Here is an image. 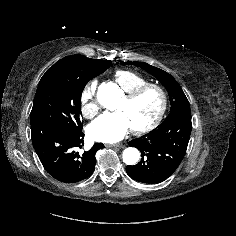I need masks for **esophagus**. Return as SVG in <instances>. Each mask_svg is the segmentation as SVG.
<instances>
[{
    "label": "esophagus",
    "mask_w": 236,
    "mask_h": 236,
    "mask_svg": "<svg viewBox=\"0 0 236 236\" xmlns=\"http://www.w3.org/2000/svg\"><path fill=\"white\" fill-rule=\"evenodd\" d=\"M108 147L123 148V144L122 143L111 144V145H108Z\"/></svg>",
    "instance_id": "esophagus-1"
}]
</instances>
